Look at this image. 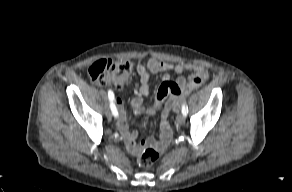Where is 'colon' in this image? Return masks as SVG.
<instances>
[{
    "mask_svg": "<svg viewBox=\"0 0 292 192\" xmlns=\"http://www.w3.org/2000/svg\"><path fill=\"white\" fill-rule=\"evenodd\" d=\"M132 66L129 62H118L112 59H100L88 69L91 80L99 85L123 88L129 81ZM160 147L150 146L139 155L137 163L146 168L153 165L159 158Z\"/></svg>",
    "mask_w": 292,
    "mask_h": 192,
    "instance_id": "5ec220e1",
    "label": "colon"
}]
</instances>
